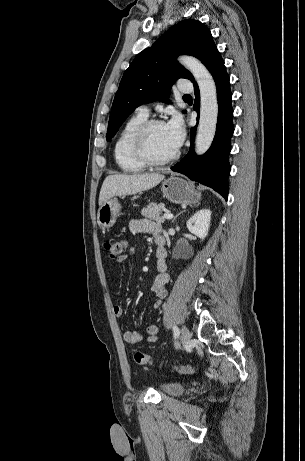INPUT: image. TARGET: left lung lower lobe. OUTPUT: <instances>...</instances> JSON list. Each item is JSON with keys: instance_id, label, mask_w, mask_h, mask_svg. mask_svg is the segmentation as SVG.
I'll return each mask as SVG.
<instances>
[{"instance_id": "obj_1", "label": "left lung lower lobe", "mask_w": 305, "mask_h": 461, "mask_svg": "<svg viewBox=\"0 0 305 461\" xmlns=\"http://www.w3.org/2000/svg\"><path fill=\"white\" fill-rule=\"evenodd\" d=\"M217 87L218 118L214 140L209 150L202 156H196L193 151V142L196 127L191 128V146L188 154L171 169L182 173L193 181L200 182L213 188L225 199L228 197V175L230 165L228 154L231 150V136L233 128V109L231 106L232 93L229 77L220 53L208 68ZM195 103L193 109L200 110V93L197 83H194ZM199 118H197L198 121Z\"/></svg>"}]
</instances>
